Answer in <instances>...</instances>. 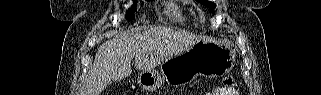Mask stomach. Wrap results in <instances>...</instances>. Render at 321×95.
Listing matches in <instances>:
<instances>
[{
	"label": "stomach",
	"instance_id": "1",
	"mask_svg": "<svg viewBox=\"0 0 321 95\" xmlns=\"http://www.w3.org/2000/svg\"><path fill=\"white\" fill-rule=\"evenodd\" d=\"M234 63V54L224 44L202 39L188 50L170 57L159 71H144L138 77L143 89L159 88L164 82L183 85L197 76L216 77L228 73Z\"/></svg>",
	"mask_w": 321,
	"mask_h": 95
}]
</instances>
